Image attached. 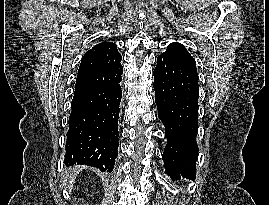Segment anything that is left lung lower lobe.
Segmentation results:
<instances>
[{
    "label": "left lung lower lobe",
    "mask_w": 269,
    "mask_h": 205,
    "mask_svg": "<svg viewBox=\"0 0 269 205\" xmlns=\"http://www.w3.org/2000/svg\"><path fill=\"white\" fill-rule=\"evenodd\" d=\"M155 101L165 126L167 144L163 154L172 178L194 180L198 156V74L196 65L160 55L154 70Z\"/></svg>",
    "instance_id": "left-lung-lower-lobe-1"
}]
</instances>
